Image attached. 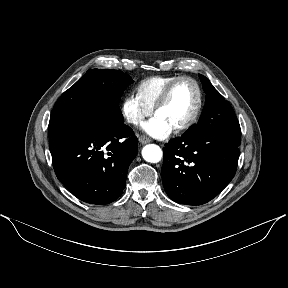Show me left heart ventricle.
<instances>
[{"instance_id": "obj_1", "label": "left heart ventricle", "mask_w": 288, "mask_h": 288, "mask_svg": "<svg viewBox=\"0 0 288 288\" xmlns=\"http://www.w3.org/2000/svg\"><path fill=\"white\" fill-rule=\"evenodd\" d=\"M196 103L197 92L194 85L183 81L176 85L167 103L156 114L164 118L172 127H176L191 117Z\"/></svg>"}]
</instances>
